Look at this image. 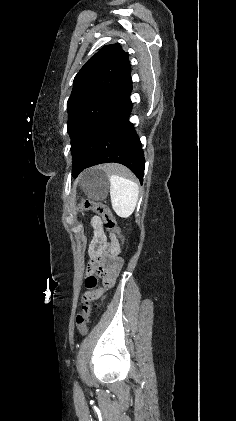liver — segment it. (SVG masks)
I'll return each mask as SVG.
<instances>
[{
    "label": "liver",
    "instance_id": "obj_1",
    "mask_svg": "<svg viewBox=\"0 0 236 421\" xmlns=\"http://www.w3.org/2000/svg\"><path fill=\"white\" fill-rule=\"evenodd\" d=\"M101 168H103V170H108V168H110V164H103Z\"/></svg>",
    "mask_w": 236,
    "mask_h": 421
}]
</instances>
